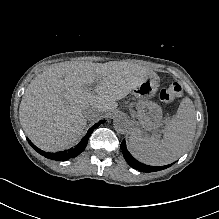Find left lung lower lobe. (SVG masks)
<instances>
[{
    "instance_id": "1",
    "label": "left lung lower lobe",
    "mask_w": 219,
    "mask_h": 219,
    "mask_svg": "<svg viewBox=\"0 0 219 219\" xmlns=\"http://www.w3.org/2000/svg\"><path fill=\"white\" fill-rule=\"evenodd\" d=\"M121 150H122V153L127 161V163L134 169H137L141 172H154V171H160V170H163V169H166L168 167H170L172 164L170 165H165V166H150V165H146V164H143L139 161H137L136 159H134L132 157V155L128 152L127 148H126V143H125V140L122 141L121 143Z\"/></svg>"
}]
</instances>
